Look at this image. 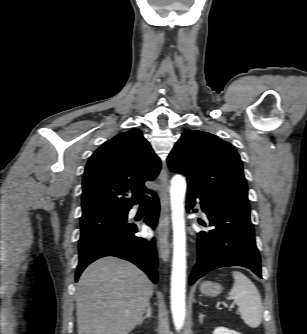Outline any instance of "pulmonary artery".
<instances>
[{
	"mask_svg": "<svg viewBox=\"0 0 307 334\" xmlns=\"http://www.w3.org/2000/svg\"><path fill=\"white\" fill-rule=\"evenodd\" d=\"M134 213H135V210H132V211H131V214H134ZM203 214H204V213H203ZM204 215H205V214H204Z\"/></svg>",
	"mask_w": 307,
	"mask_h": 334,
	"instance_id": "pulmonary-artery-1",
	"label": "pulmonary artery"
}]
</instances>
